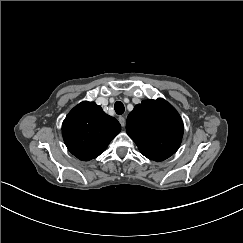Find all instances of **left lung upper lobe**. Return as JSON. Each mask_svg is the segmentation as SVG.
Wrapping results in <instances>:
<instances>
[{
    "instance_id": "5c2ea615",
    "label": "left lung upper lobe",
    "mask_w": 243,
    "mask_h": 243,
    "mask_svg": "<svg viewBox=\"0 0 243 243\" xmlns=\"http://www.w3.org/2000/svg\"><path fill=\"white\" fill-rule=\"evenodd\" d=\"M126 131L145 157L163 161L179 148L183 122L174 107L164 99H148L130 112Z\"/></svg>"
}]
</instances>
